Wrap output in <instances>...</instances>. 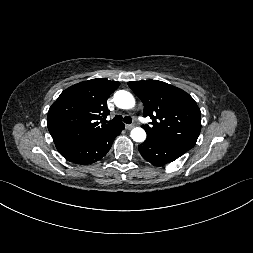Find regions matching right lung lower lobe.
Here are the masks:
<instances>
[{
    "instance_id": "right-lung-lower-lobe-1",
    "label": "right lung lower lobe",
    "mask_w": 253,
    "mask_h": 253,
    "mask_svg": "<svg viewBox=\"0 0 253 253\" xmlns=\"http://www.w3.org/2000/svg\"><path fill=\"white\" fill-rule=\"evenodd\" d=\"M124 129L120 123L113 129L100 133L88 140L76 143L59 153L68 161L76 164H91L100 160L110 150L117 135Z\"/></svg>"
}]
</instances>
